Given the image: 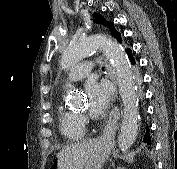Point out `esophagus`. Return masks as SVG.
<instances>
[{
    "label": "esophagus",
    "instance_id": "1",
    "mask_svg": "<svg viewBox=\"0 0 177 169\" xmlns=\"http://www.w3.org/2000/svg\"><path fill=\"white\" fill-rule=\"evenodd\" d=\"M107 72L108 75L110 77V79L114 82V84H116V82L114 81L112 75H111V67L110 65H107ZM118 95L119 92H114L113 97H111V108L112 111L110 113L109 119L107 120L103 133L100 137V139H106L107 137H109L115 127L116 121H117V108H118Z\"/></svg>",
    "mask_w": 177,
    "mask_h": 169
}]
</instances>
